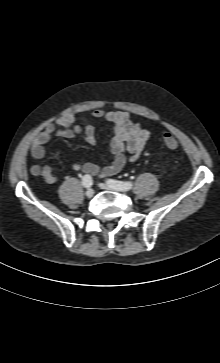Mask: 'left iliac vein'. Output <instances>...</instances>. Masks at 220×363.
I'll use <instances>...</instances> for the list:
<instances>
[{"label": "left iliac vein", "instance_id": "left-iliac-vein-1", "mask_svg": "<svg viewBox=\"0 0 220 363\" xmlns=\"http://www.w3.org/2000/svg\"><path fill=\"white\" fill-rule=\"evenodd\" d=\"M99 187H100L101 189H104V190L122 191V190H120V189H118V188H116V187L111 186V185H110V184H108V183H100V184H99Z\"/></svg>", "mask_w": 220, "mask_h": 363}]
</instances>
